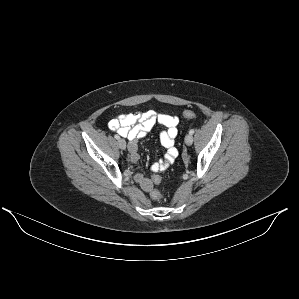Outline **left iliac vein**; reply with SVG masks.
Here are the masks:
<instances>
[{"label":"left iliac vein","instance_id":"left-iliac-vein-1","mask_svg":"<svg viewBox=\"0 0 299 299\" xmlns=\"http://www.w3.org/2000/svg\"><path fill=\"white\" fill-rule=\"evenodd\" d=\"M192 142H193V136H192V134H187L186 136H185V143H186V145H191L192 144Z\"/></svg>","mask_w":299,"mask_h":299}]
</instances>
